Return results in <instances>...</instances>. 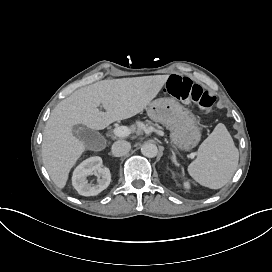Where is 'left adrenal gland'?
Returning a JSON list of instances; mask_svg holds the SVG:
<instances>
[{
	"label": "left adrenal gland",
	"mask_w": 272,
	"mask_h": 272,
	"mask_svg": "<svg viewBox=\"0 0 272 272\" xmlns=\"http://www.w3.org/2000/svg\"><path fill=\"white\" fill-rule=\"evenodd\" d=\"M172 152V157H171V160L172 162L175 164V165H178V162L176 160V155H175V152L173 150H171Z\"/></svg>",
	"instance_id": "1"
}]
</instances>
